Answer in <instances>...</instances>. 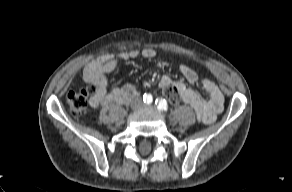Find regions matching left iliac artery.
<instances>
[{
    "label": "left iliac artery",
    "instance_id": "44dca946",
    "mask_svg": "<svg viewBox=\"0 0 292 192\" xmlns=\"http://www.w3.org/2000/svg\"><path fill=\"white\" fill-rule=\"evenodd\" d=\"M155 104L157 105V109L159 111H167L168 110V104L163 99H156Z\"/></svg>",
    "mask_w": 292,
    "mask_h": 192
}]
</instances>
